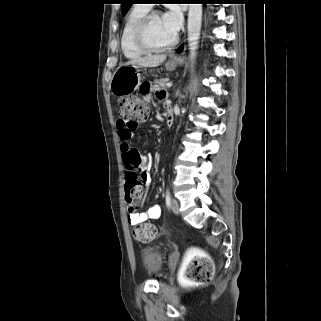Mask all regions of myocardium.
Masks as SVG:
<instances>
[{"mask_svg":"<svg viewBox=\"0 0 321 321\" xmlns=\"http://www.w3.org/2000/svg\"><path fill=\"white\" fill-rule=\"evenodd\" d=\"M160 13L158 11H148L144 14L140 20L137 22L134 32H133V41L137 48L142 50L145 53H159L165 52L172 49L178 42V36L175 34L173 39L166 45L163 46H153L151 45L146 36V30L148 23L151 18L155 16H159Z\"/></svg>","mask_w":321,"mask_h":321,"instance_id":"1","label":"myocardium"}]
</instances>
